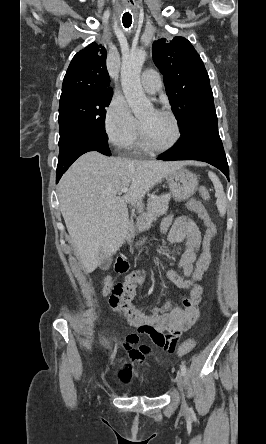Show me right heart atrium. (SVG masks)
I'll use <instances>...</instances> for the list:
<instances>
[{
  "label": "right heart atrium",
  "instance_id": "d8ad5b80",
  "mask_svg": "<svg viewBox=\"0 0 266 444\" xmlns=\"http://www.w3.org/2000/svg\"><path fill=\"white\" fill-rule=\"evenodd\" d=\"M104 129L108 140L118 149L130 148L139 135V121L120 95H114L106 108Z\"/></svg>",
  "mask_w": 266,
  "mask_h": 444
}]
</instances>
